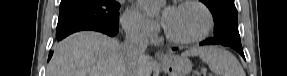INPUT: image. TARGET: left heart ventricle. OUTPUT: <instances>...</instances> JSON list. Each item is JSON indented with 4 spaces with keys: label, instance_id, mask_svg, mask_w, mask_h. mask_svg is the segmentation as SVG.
<instances>
[{
    "label": "left heart ventricle",
    "instance_id": "obj_1",
    "mask_svg": "<svg viewBox=\"0 0 287 76\" xmlns=\"http://www.w3.org/2000/svg\"><path fill=\"white\" fill-rule=\"evenodd\" d=\"M206 24L204 13L195 6L175 7L166 22L168 32L177 38H191L198 35Z\"/></svg>",
    "mask_w": 287,
    "mask_h": 76
}]
</instances>
